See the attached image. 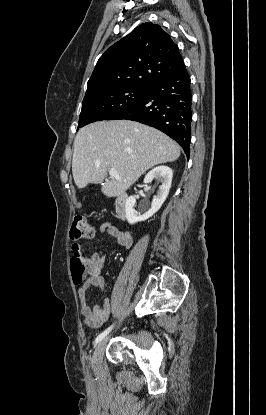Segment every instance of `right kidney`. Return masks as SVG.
<instances>
[{
  "label": "right kidney",
  "instance_id": "obj_1",
  "mask_svg": "<svg viewBox=\"0 0 266 415\" xmlns=\"http://www.w3.org/2000/svg\"><path fill=\"white\" fill-rule=\"evenodd\" d=\"M173 171L168 166H158L152 169L144 178V183H151L153 179H158L161 181L157 195L153 198L151 208L142 215H138L134 206L136 203V198L130 196L126 200L125 209H126V218L129 224H134L140 221H145L152 217L162 206L166 200L171 183H172Z\"/></svg>",
  "mask_w": 266,
  "mask_h": 415
}]
</instances>
